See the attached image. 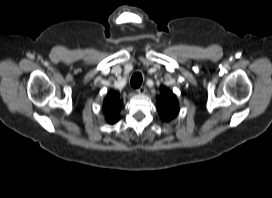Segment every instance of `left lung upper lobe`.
<instances>
[{"label":"left lung upper lobe","mask_w":272,"mask_h":198,"mask_svg":"<svg viewBox=\"0 0 272 198\" xmlns=\"http://www.w3.org/2000/svg\"><path fill=\"white\" fill-rule=\"evenodd\" d=\"M160 91L162 95L158 98V112L163 120L169 121L179 112L178 102L176 96L166 87L161 86Z\"/></svg>","instance_id":"1"}]
</instances>
